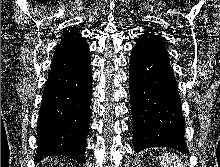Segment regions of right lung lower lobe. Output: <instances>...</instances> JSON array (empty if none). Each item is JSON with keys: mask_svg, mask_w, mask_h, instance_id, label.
I'll list each match as a JSON object with an SVG mask.
<instances>
[{"mask_svg": "<svg viewBox=\"0 0 220 167\" xmlns=\"http://www.w3.org/2000/svg\"><path fill=\"white\" fill-rule=\"evenodd\" d=\"M90 63L50 74L37 123L36 162L62 154L84 163L92 92Z\"/></svg>", "mask_w": 220, "mask_h": 167, "instance_id": "obj_1", "label": "right lung lower lobe"}]
</instances>
